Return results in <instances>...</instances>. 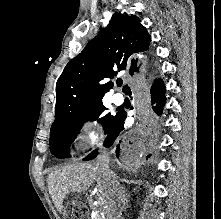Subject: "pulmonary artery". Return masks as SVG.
Segmentation results:
<instances>
[{
  "label": "pulmonary artery",
  "mask_w": 221,
  "mask_h": 219,
  "mask_svg": "<svg viewBox=\"0 0 221 219\" xmlns=\"http://www.w3.org/2000/svg\"><path fill=\"white\" fill-rule=\"evenodd\" d=\"M111 100L113 101V103H115L116 105H120L123 103L124 101V97L122 96V94L120 93H114L111 97Z\"/></svg>",
  "instance_id": "e3ab8cb5"
}]
</instances>
